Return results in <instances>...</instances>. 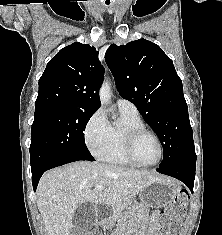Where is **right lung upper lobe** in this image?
Segmentation results:
<instances>
[{
    "label": "right lung upper lobe",
    "instance_id": "cb5924a9",
    "mask_svg": "<svg viewBox=\"0 0 222 235\" xmlns=\"http://www.w3.org/2000/svg\"><path fill=\"white\" fill-rule=\"evenodd\" d=\"M103 78L104 68L96 49L75 42L48 62L39 79L35 112L58 105L96 111L101 105L99 88Z\"/></svg>",
    "mask_w": 222,
    "mask_h": 235
}]
</instances>
